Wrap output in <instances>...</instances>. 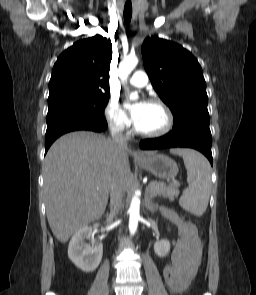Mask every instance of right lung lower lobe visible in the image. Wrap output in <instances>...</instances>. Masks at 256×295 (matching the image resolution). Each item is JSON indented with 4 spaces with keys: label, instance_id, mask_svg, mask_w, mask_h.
Returning a JSON list of instances; mask_svg holds the SVG:
<instances>
[{
    "label": "right lung lower lobe",
    "instance_id": "1",
    "mask_svg": "<svg viewBox=\"0 0 256 295\" xmlns=\"http://www.w3.org/2000/svg\"><path fill=\"white\" fill-rule=\"evenodd\" d=\"M107 128L104 116L55 114L47 117V131L45 135V152L61 135L75 130H91L102 132Z\"/></svg>",
    "mask_w": 256,
    "mask_h": 295
}]
</instances>
